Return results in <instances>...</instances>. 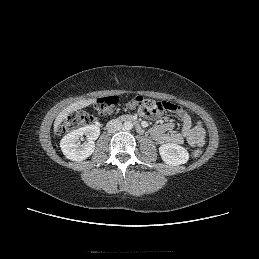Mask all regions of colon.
Listing matches in <instances>:
<instances>
[{"mask_svg":"<svg viewBox=\"0 0 259 259\" xmlns=\"http://www.w3.org/2000/svg\"><path fill=\"white\" fill-rule=\"evenodd\" d=\"M119 99L117 96L100 98L95 103V109L101 116L112 115L117 108ZM129 107H137L144 115H157L164 111H173L177 105L167 101H154L145 99L142 96L134 97L129 103ZM95 117L87 112L76 111L70 114L59 127V133L65 134L83 126L92 125ZM202 154L200 149L192 152L194 158H199Z\"/></svg>","mask_w":259,"mask_h":259,"instance_id":"1","label":"colon"}]
</instances>
